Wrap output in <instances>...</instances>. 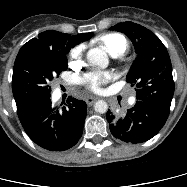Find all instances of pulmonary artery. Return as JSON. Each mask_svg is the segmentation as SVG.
Segmentation results:
<instances>
[{"instance_id":"1","label":"pulmonary artery","mask_w":187,"mask_h":187,"mask_svg":"<svg viewBox=\"0 0 187 187\" xmlns=\"http://www.w3.org/2000/svg\"><path fill=\"white\" fill-rule=\"evenodd\" d=\"M134 100H135L134 98H131L129 102H130V103H133Z\"/></svg>"}]
</instances>
